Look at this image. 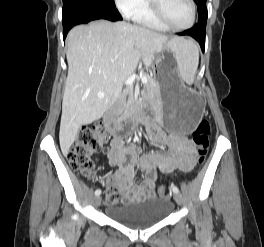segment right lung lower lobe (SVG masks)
Returning a JSON list of instances; mask_svg holds the SVG:
<instances>
[{
	"label": "right lung lower lobe",
	"mask_w": 264,
	"mask_h": 247,
	"mask_svg": "<svg viewBox=\"0 0 264 247\" xmlns=\"http://www.w3.org/2000/svg\"><path fill=\"white\" fill-rule=\"evenodd\" d=\"M97 19L117 21L122 20V17L115 6H101L77 0L63 2L62 22L64 40L73 26Z\"/></svg>",
	"instance_id": "1"
}]
</instances>
